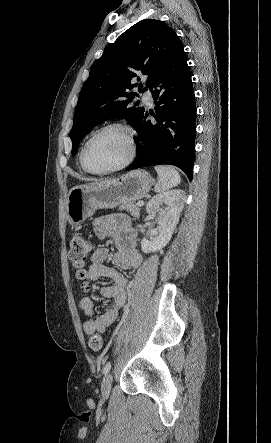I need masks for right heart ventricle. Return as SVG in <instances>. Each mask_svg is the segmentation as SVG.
<instances>
[{"instance_id": "e07e8e85", "label": "right heart ventricle", "mask_w": 271, "mask_h": 443, "mask_svg": "<svg viewBox=\"0 0 271 443\" xmlns=\"http://www.w3.org/2000/svg\"><path fill=\"white\" fill-rule=\"evenodd\" d=\"M78 162H79V166H80V168H81V170L83 171V172H85V173H89V172H87L83 167H82V164H81V161H80V153H79V156H78Z\"/></svg>"}]
</instances>
